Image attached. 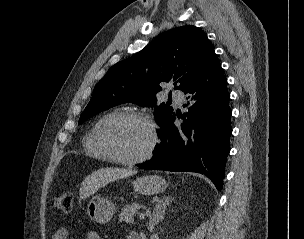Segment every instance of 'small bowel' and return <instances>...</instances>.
Segmentation results:
<instances>
[{
    "mask_svg": "<svg viewBox=\"0 0 304 239\" xmlns=\"http://www.w3.org/2000/svg\"><path fill=\"white\" fill-rule=\"evenodd\" d=\"M135 233H131L127 239H131V237L134 235ZM70 238V232L68 229L66 228H59L57 229L53 236L52 239H69ZM85 239H102L100 237V235L94 231L88 232L85 236Z\"/></svg>",
    "mask_w": 304,
    "mask_h": 239,
    "instance_id": "small-bowel-1",
    "label": "small bowel"
}]
</instances>
